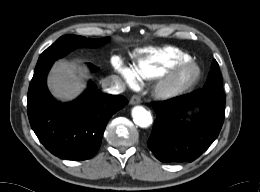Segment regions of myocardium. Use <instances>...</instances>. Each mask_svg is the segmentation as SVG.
<instances>
[{
	"instance_id": "myocardium-1",
	"label": "myocardium",
	"mask_w": 260,
	"mask_h": 192,
	"mask_svg": "<svg viewBox=\"0 0 260 192\" xmlns=\"http://www.w3.org/2000/svg\"><path fill=\"white\" fill-rule=\"evenodd\" d=\"M199 77L200 70L195 63L182 62L157 80L153 86V92L160 99H171L193 87Z\"/></svg>"
}]
</instances>
